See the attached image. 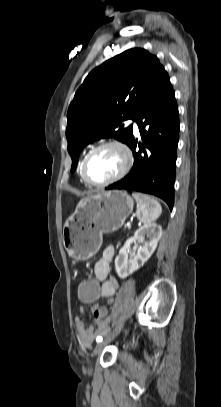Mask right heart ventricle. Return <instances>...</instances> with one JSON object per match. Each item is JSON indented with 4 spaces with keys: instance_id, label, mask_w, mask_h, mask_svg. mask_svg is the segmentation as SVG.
I'll return each mask as SVG.
<instances>
[{
    "instance_id": "1",
    "label": "right heart ventricle",
    "mask_w": 221,
    "mask_h": 407,
    "mask_svg": "<svg viewBox=\"0 0 221 407\" xmlns=\"http://www.w3.org/2000/svg\"><path fill=\"white\" fill-rule=\"evenodd\" d=\"M85 156H86V154L82 157V159H81L80 162H79V166H78L79 176H80V178H81L82 180H83V178H82V174H81V166H82V162H83ZM83 181H84V180H83Z\"/></svg>"
}]
</instances>
